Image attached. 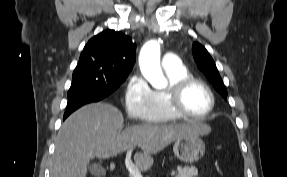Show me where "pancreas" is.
Returning a JSON list of instances; mask_svg holds the SVG:
<instances>
[{
    "label": "pancreas",
    "instance_id": "pancreas-1",
    "mask_svg": "<svg viewBox=\"0 0 287 177\" xmlns=\"http://www.w3.org/2000/svg\"><path fill=\"white\" fill-rule=\"evenodd\" d=\"M175 177H195L198 176V170L195 167L179 166L176 172H172Z\"/></svg>",
    "mask_w": 287,
    "mask_h": 177
}]
</instances>
